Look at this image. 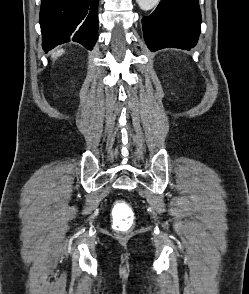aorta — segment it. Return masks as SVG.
Segmentation results:
<instances>
[{
	"instance_id": "aorta-1",
	"label": "aorta",
	"mask_w": 249,
	"mask_h": 294,
	"mask_svg": "<svg viewBox=\"0 0 249 294\" xmlns=\"http://www.w3.org/2000/svg\"><path fill=\"white\" fill-rule=\"evenodd\" d=\"M159 0H137L139 7L144 11H149L158 4Z\"/></svg>"
}]
</instances>
